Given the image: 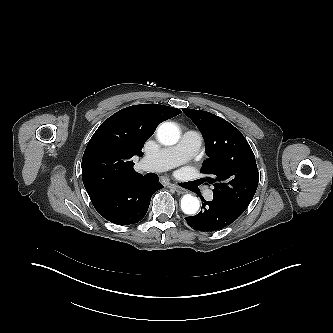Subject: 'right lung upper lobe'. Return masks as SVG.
<instances>
[{
    "label": "right lung upper lobe",
    "instance_id": "cb5924a9",
    "mask_svg": "<svg viewBox=\"0 0 333 333\" xmlns=\"http://www.w3.org/2000/svg\"><path fill=\"white\" fill-rule=\"evenodd\" d=\"M181 111L177 108L141 104L124 108L93 134L82 159V179L90 199L128 182L143 178L133 169V156H142L144 143L156 127Z\"/></svg>",
    "mask_w": 333,
    "mask_h": 333
}]
</instances>
